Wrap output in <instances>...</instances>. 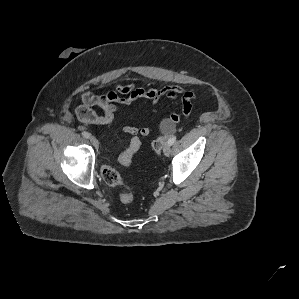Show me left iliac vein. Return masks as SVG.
<instances>
[{"label": "left iliac vein", "mask_w": 299, "mask_h": 299, "mask_svg": "<svg viewBox=\"0 0 299 299\" xmlns=\"http://www.w3.org/2000/svg\"><path fill=\"white\" fill-rule=\"evenodd\" d=\"M163 152L166 156L170 155L171 145L168 142L164 145Z\"/></svg>", "instance_id": "4c4485c4"}]
</instances>
